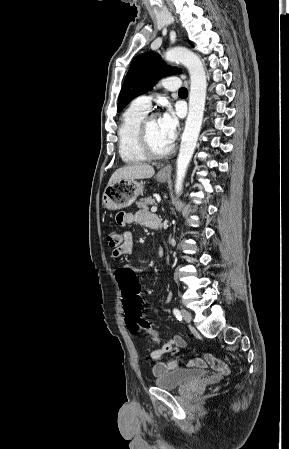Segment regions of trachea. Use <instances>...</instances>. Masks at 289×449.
<instances>
[{
    "label": "trachea",
    "instance_id": "1",
    "mask_svg": "<svg viewBox=\"0 0 289 449\" xmlns=\"http://www.w3.org/2000/svg\"><path fill=\"white\" fill-rule=\"evenodd\" d=\"M179 93H188L187 89L185 87L180 88Z\"/></svg>",
    "mask_w": 289,
    "mask_h": 449
}]
</instances>
